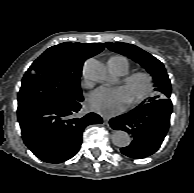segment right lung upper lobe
I'll return each instance as SVG.
<instances>
[{"label":"right lung upper lobe","mask_w":194,"mask_h":193,"mask_svg":"<svg viewBox=\"0 0 194 193\" xmlns=\"http://www.w3.org/2000/svg\"><path fill=\"white\" fill-rule=\"evenodd\" d=\"M104 49L103 43H70L65 42L47 49L30 66L26 75L34 73L59 74L81 73L86 58L100 53Z\"/></svg>","instance_id":"right-lung-upper-lobe-1"}]
</instances>
